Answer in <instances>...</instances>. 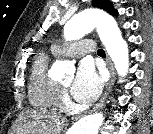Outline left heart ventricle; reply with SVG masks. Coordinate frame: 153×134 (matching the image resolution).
<instances>
[{
	"label": "left heart ventricle",
	"mask_w": 153,
	"mask_h": 134,
	"mask_svg": "<svg viewBox=\"0 0 153 134\" xmlns=\"http://www.w3.org/2000/svg\"><path fill=\"white\" fill-rule=\"evenodd\" d=\"M63 84H64V86L68 87L71 84V80H68V81L64 82Z\"/></svg>",
	"instance_id": "1"
}]
</instances>
